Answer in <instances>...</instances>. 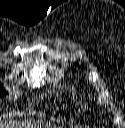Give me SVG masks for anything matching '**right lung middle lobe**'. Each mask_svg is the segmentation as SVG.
I'll list each match as a JSON object with an SVG mask.
<instances>
[{
  "mask_svg": "<svg viewBox=\"0 0 125 128\" xmlns=\"http://www.w3.org/2000/svg\"><path fill=\"white\" fill-rule=\"evenodd\" d=\"M6 95L4 88L0 85V96Z\"/></svg>",
  "mask_w": 125,
  "mask_h": 128,
  "instance_id": "1",
  "label": "right lung middle lobe"
}]
</instances>
